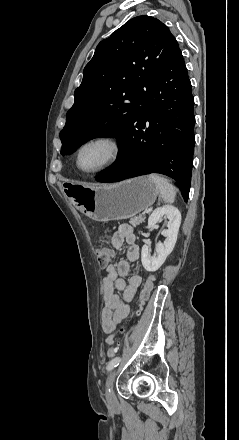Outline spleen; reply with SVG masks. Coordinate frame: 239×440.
Here are the masks:
<instances>
[{
  "label": "spleen",
  "mask_w": 239,
  "mask_h": 440,
  "mask_svg": "<svg viewBox=\"0 0 239 440\" xmlns=\"http://www.w3.org/2000/svg\"><path fill=\"white\" fill-rule=\"evenodd\" d=\"M149 178H151L154 184H157L160 192L159 198H161L165 204H173L176 192H178L177 188L169 184V180L162 178L159 174H150Z\"/></svg>",
  "instance_id": "spleen-1"
}]
</instances>
